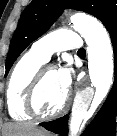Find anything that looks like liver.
Wrapping results in <instances>:
<instances>
[{
	"instance_id": "6515ba94",
	"label": "liver",
	"mask_w": 117,
	"mask_h": 136,
	"mask_svg": "<svg viewBox=\"0 0 117 136\" xmlns=\"http://www.w3.org/2000/svg\"><path fill=\"white\" fill-rule=\"evenodd\" d=\"M4 136H47V132L29 123H11L4 126Z\"/></svg>"
}]
</instances>
